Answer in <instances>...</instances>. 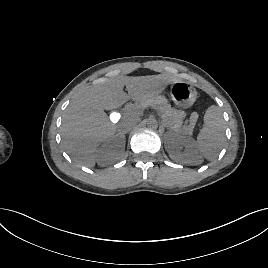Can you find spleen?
Segmentation results:
<instances>
[{
    "label": "spleen",
    "mask_w": 268,
    "mask_h": 268,
    "mask_svg": "<svg viewBox=\"0 0 268 268\" xmlns=\"http://www.w3.org/2000/svg\"><path fill=\"white\" fill-rule=\"evenodd\" d=\"M225 142V121L221 108L210 106L204 115V127L197 137L196 146L207 160L217 157Z\"/></svg>",
    "instance_id": "1"
}]
</instances>
